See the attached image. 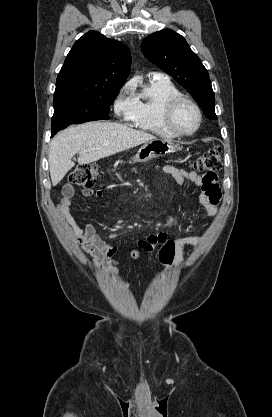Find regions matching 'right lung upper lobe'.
<instances>
[{"mask_svg":"<svg viewBox=\"0 0 272 417\" xmlns=\"http://www.w3.org/2000/svg\"><path fill=\"white\" fill-rule=\"evenodd\" d=\"M130 65L128 47L90 31L78 39L68 53L57 77L54 96L121 88Z\"/></svg>","mask_w":272,"mask_h":417,"instance_id":"right-lung-upper-lobe-1","label":"right lung upper lobe"}]
</instances>
